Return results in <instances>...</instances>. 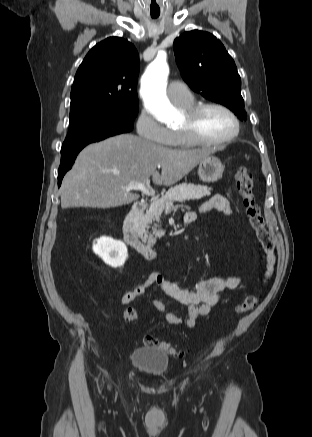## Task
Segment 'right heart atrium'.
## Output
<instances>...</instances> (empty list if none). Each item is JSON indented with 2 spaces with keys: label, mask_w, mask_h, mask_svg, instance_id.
<instances>
[{
  "label": "right heart atrium",
  "mask_w": 312,
  "mask_h": 437,
  "mask_svg": "<svg viewBox=\"0 0 312 437\" xmlns=\"http://www.w3.org/2000/svg\"><path fill=\"white\" fill-rule=\"evenodd\" d=\"M136 129L140 137L155 144L166 145L171 138V131L146 109L140 112L136 122Z\"/></svg>",
  "instance_id": "1"
}]
</instances>
